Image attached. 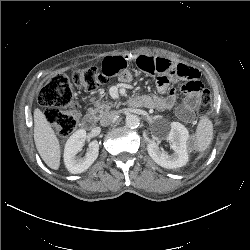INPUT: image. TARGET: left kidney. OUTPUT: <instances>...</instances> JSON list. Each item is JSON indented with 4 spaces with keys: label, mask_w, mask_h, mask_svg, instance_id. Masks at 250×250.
<instances>
[{
    "label": "left kidney",
    "mask_w": 250,
    "mask_h": 250,
    "mask_svg": "<svg viewBox=\"0 0 250 250\" xmlns=\"http://www.w3.org/2000/svg\"><path fill=\"white\" fill-rule=\"evenodd\" d=\"M189 138V132L183 124L179 122H172L170 124V131L167 135V140L170 142L174 153L169 155L167 152L160 149L159 143L156 140H152L147 145L148 154L163 168H180L186 165L189 159Z\"/></svg>",
    "instance_id": "obj_1"
}]
</instances>
